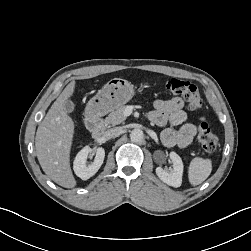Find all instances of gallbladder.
I'll use <instances>...</instances> for the list:
<instances>
[{
    "mask_svg": "<svg viewBox=\"0 0 251 251\" xmlns=\"http://www.w3.org/2000/svg\"><path fill=\"white\" fill-rule=\"evenodd\" d=\"M74 103L71 100H66L63 104V108L65 112L71 113L74 111Z\"/></svg>",
    "mask_w": 251,
    "mask_h": 251,
    "instance_id": "obj_1",
    "label": "gallbladder"
}]
</instances>
